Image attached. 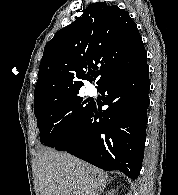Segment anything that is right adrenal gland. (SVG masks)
<instances>
[{
  "mask_svg": "<svg viewBox=\"0 0 178 195\" xmlns=\"http://www.w3.org/2000/svg\"><path fill=\"white\" fill-rule=\"evenodd\" d=\"M110 183V180L108 181V184ZM107 184L103 185L102 188L100 189V193H102L104 191V189L106 188Z\"/></svg>",
  "mask_w": 178,
  "mask_h": 195,
  "instance_id": "right-adrenal-gland-1",
  "label": "right adrenal gland"
}]
</instances>
